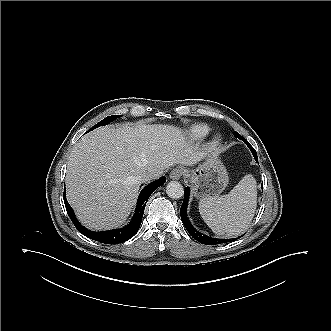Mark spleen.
Segmentation results:
<instances>
[{
    "instance_id": "1",
    "label": "spleen",
    "mask_w": 331,
    "mask_h": 331,
    "mask_svg": "<svg viewBox=\"0 0 331 331\" xmlns=\"http://www.w3.org/2000/svg\"><path fill=\"white\" fill-rule=\"evenodd\" d=\"M256 196V180L247 174L228 194L201 198L199 212L215 234L238 236L254 216Z\"/></svg>"
}]
</instances>
